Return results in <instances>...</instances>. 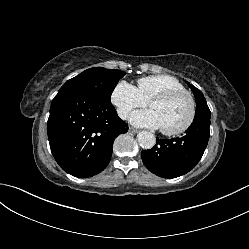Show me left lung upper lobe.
I'll list each match as a JSON object with an SVG mask.
<instances>
[{"mask_svg": "<svg viewBox=\"0 0 249 249\" xmlns=\"http://www.w3.org/2000/svg\"><path fill=\"white\" fill-rule=\"evenodd\" d=\"M188 86L191 88V90L194 93L195 100H196V113H195V118L198 117H210L211 113L209 110V107L207 105V102L202 94V92L194 87L193 85H190L187 83Z\"/></svg>", "mask_w": 249, "mask_h": 249, "instance_id": "5c2ea615", "label": "left lung upper lobe"}]
</instances>
